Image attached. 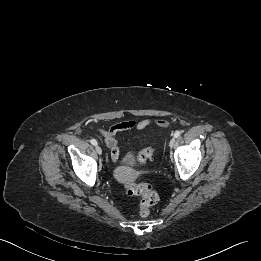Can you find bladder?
I'll return each mask as SVG.
<instances>
[{
    "mask_svg": "<svg viewBox=\"0 0 261 261\" xmlns=\"http://www.w3.org/2000/svg\"><path fill=\"white\" fill-rule=\"evenodd\" d=\"M122 163H123L124 165H132V163H133L132 154H131V153H127V154L123 157Z\"/></svg>",
    "mask_w": 261,
    "mask_h": 261,
    "instance_id": "1",
    "label": "bladder"
}]
</instances>
